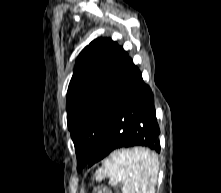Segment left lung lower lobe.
<instances>
[{
  "label": "left lung lower lobe",
  "mask_w": 221,
  "mask_h": 193,
  "mask_svg": "<svg viewBox=\"0 0 221 193\" xmlns=\"http://www.w3.org/2000/svg\"><path fill=\"white\" fill-rule=\"evenodd\" d=\"M159 135L152 91L132 63L120 85L110 129L87 164L90 167L120 148L144 146L159 153Z\"/></svg>",
  "instance_id": "obj_1"
}]
</instances>
